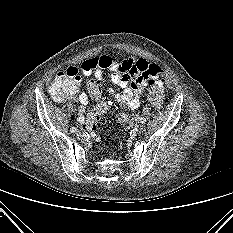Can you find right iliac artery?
Listing matches in <instances>:
<instances>
[{
  "label": "right iliac artery",
  "mask_w": 233,
  "mask_h": 233,
  "mask_svg": "<svg viewBox=\"0 0 233 233\" xmlns=\"http://www.w3.org/2000/svg\"><path fill=\"white\" fill-rule=\"evenodd\" d=\"M70 131H71L72 133H75V132L77 131V129H76L75 127H72V128L70 129Z\"/></svg>",
  "instance_id": "82829eb1"
}]
</instances>
